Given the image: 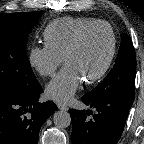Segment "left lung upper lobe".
I'll use <instances>...</instances> for the list:
<instances>
[{"instance_id":"1","label":"left lung upper lobe","mask_w":144,"mask_h":144,"mask_svg":"<svg viewBox=\"0 0 144 144\" xmlns=\"http://www.w3.org/2000/svg\"><path fill=\"white\" fill-rule=\"evenodd\" d=\"M135 72L136 60L132 40L126 34H121V45L114 68L96 88L84 96L97 98L118 95L134 99Z\"/></svg>"}]
</instances>
